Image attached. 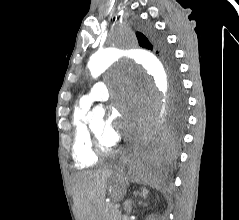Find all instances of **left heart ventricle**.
<instances>
[{
  "mask_svg": "<svg viewBox=\"0 0 239 220\" xmlns=\"http://www.w3.org/2000/svg\"><path fill=\"white\" fill-rule=\"evenodd\" d=\"M91 127L93 129V131L96 133V135L99 137V139L101 140L102 144L106 147H110L112 146L111 143H109L108 141H106L104 138H103V130H104V127H105V121L104 120H97L95 122H93L91 124Z\"/></svg>",
  "mask_w": 239,
  "mask_h": 220,
  "instance_id": "left-heart-ventricle-1",
  "label": "left heart ventricle"
}]
</instances>
